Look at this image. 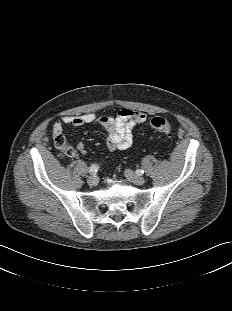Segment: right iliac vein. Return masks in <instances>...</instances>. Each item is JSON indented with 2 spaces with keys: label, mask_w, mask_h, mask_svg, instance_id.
Instances as JSON below:
<instances>
[{
  "label": "right iliac vein",
  "mask_w": 232,
  "mask_h": 311,
  "mask_svg": "<svg viewBox=\"0 0 232 311\" xmlns=\"http://www.w3.org/2000/svg\"><path fill=\"white\" fill-rule=\"evenodd\" d=\"M87 183L90 185V186H95L97 183H98V178L96 175H91L88 177L87 179Z\"/></svg>",
  "instance_id": "obj_1"
}]
</instances>
